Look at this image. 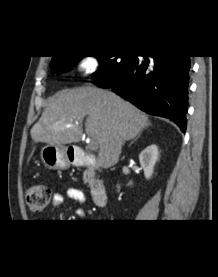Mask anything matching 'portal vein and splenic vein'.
I'll list each match as a JSON object with an SVG mask.
<instances>
[{"instance_id":"1","label":"portal vein and splenic vein","mask_w":218,"mask_h":277,"mask_svg":"<svg viewBox=\"0 0 218 277\" xmlns=\"http://www.w3.org/2000/svg\"><path fill=\"white\" fill-rule=\"evenodd\" d=\"M68 127H70V125H68ZM89 148L93 151L98 149V144L94 141H91V143L89 144Z\"/></svg>"}]
</instances>
